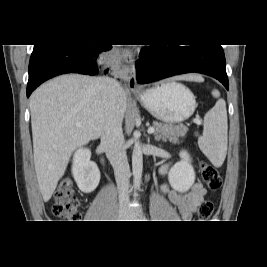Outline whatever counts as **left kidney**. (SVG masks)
<instances>
[{
    "label": "left kidney",
    "instance_id": "obj_1",
    "mask_svg": "<svg viewBox=\"0 0 267 267\" xmlns=\"http://www.w3.org/2000/svg\"><path fill=\"white\" fill-rule=\"evenodd\" d=\"M180 158L181 160L170 169L168 180L174 190L186 192L195 181V172L187 151L182 150Z\"/></svg>",
    "mask_w": 267,
    "mask_h": 267
}]
</instances>
